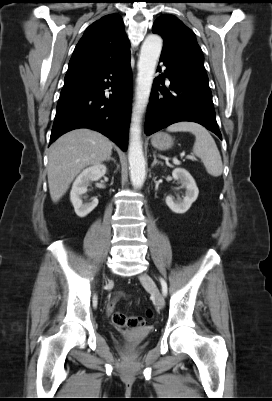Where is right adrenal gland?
Wrapping results in <instances>:
<instances>
[{
    "mask_svg": "<svg viewBox=\"0 0 272 401\" xmlns=\"http://www.w3.org/2000/svg\"><path fill=\"white\" fill-rule=\"evenodd\" d=\"M110 160H112L114 163H116V160L114 158H112V157H108L106 162H109Z\"/></svg>",
    "mask_w": 272,
    "mask_h": 401,
    "instance_id": "1",
    "label": "right adrenal gland"
}]
</instances>
